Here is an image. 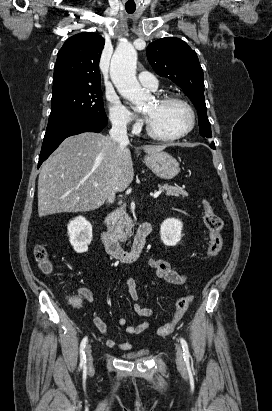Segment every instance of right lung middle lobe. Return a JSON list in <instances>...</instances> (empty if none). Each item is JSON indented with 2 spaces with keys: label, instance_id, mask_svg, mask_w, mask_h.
Here are the masks:
<instances>
[{
  "label": "right lung middle lobe",
  "instance_id": "dd1d6c3e",
  "mask_svg": "<svg viewBox=\"0 0 272 411\" xmlns=\"http://www.w3.org/2000/svg\"><path fill=\"white\" fill-rule=\"evenodd\" d=\"M81 118L108 120L100 86L70 88L53 94L46 130Z\"/></svg>",
  "mask_w": 272,
  "mask_h": 411
}]
</instances>
